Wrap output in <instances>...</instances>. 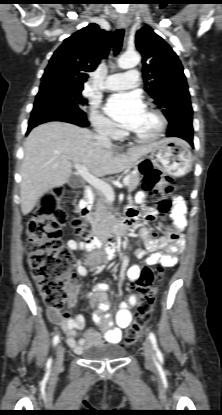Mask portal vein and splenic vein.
<instances>
[{
	"instance_id": "18ae733b",
	"label": "portal vein and splenic vein",
	"mask_w": 222,
	"mask_h": 415,
	"mask_svg": "<svg viewBox=\"0 0 222 415\" xmlns=\"http://www.w3.org/2000/svg\"><path fill=\"white\" fill-rule=\"evenodd\" d=\"M73 166L75 167V169L77 170L79 175L88 184H90L92 187H94L95 189L102 192L108 201H110V202L114 201L115 194H114L113 188L108 183H106V182L98 179L97 177L93 176L92 174H90L85 165L75 163ZM129 180H130L129 175L125 176L124 179H123V184L125 186L128 185Z\"/></svg>"
}]
</instances>
